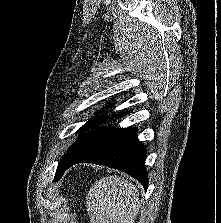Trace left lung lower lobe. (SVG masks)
Masks as SVG:
<instances>
[{
    "label": "left lung lower lobe",
    "instance_id": "1",
    "mask_svg": "<svg viewBox=\"0 0 221 223\" xmlns=\"http://www.w3.org/2000/svg\"><path fill=\"white\" fill-rule=\"evenodd\" d=\"M136 129L107 128L88 148L70 162L94 163L122 170L148 187L146 148L136 138Z\"/></svg>",
    "mask_w": 221,
    "mask_h": 223
}]
</instances>
